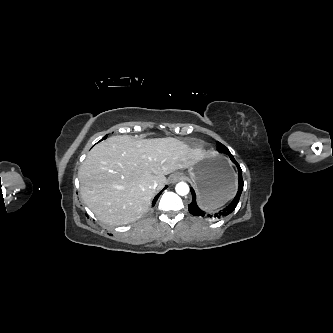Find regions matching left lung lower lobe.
I'll return each instance as SVG.
<instances>
[{"mask_svg": "<svg viewBox=\"0 0 333 333\" xmlns=\"http://www.w3.org/2000/svg\"><path fill=\"white\" fill-rule=\"evenodd\" d=\"M231 160L237 166L238 177H239V188H238V192H237L235 198L233 199V201L227 207H225L224 209H222L218 212H214V213L204 212L197 206L196 195H195L194 190L191 188L192 202L188 205V210L192 215L202 217L206 220H217V219L224 218L225 216L229 215L231 212L234 211V209L236 208V206L239 202V199H240V196H241V193L243 190L244 182L242 179V170H241L240 166L238 165V163L236 162L235 159H231Z\"/></svg>", "mask_w": 333, "mask_h": 333, "instance_id": "1", "label": "left lung lower lobe"}]
</instances>
